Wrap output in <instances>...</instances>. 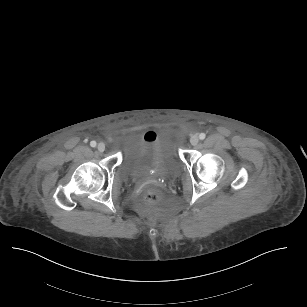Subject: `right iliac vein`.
<instances>
[{
	"instance_id": "63e3f726",
	"label": "right iliac vein",
	"mask_w": 307,
	"mask_h": 307,
	"mask_svg": "<svg viewBox=\"0 0 307 307\" xmlns=\"http://www.w3.org/2000/svg\"><path fill=\"white\" fill-rule=\"evenodd\" d=\"M97 149L99 152H103L105 150V144L100 142L98 145H97Z\"/></svg>"
}]
</instances>
